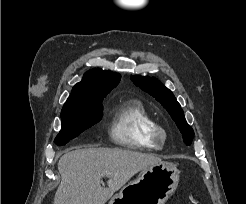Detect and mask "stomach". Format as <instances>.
<instances>
[{"instance_id":"obj_1","label":"stomach","mask_w":246,"mask_h":204,"mask_svg":"<svg viewBox=\"0 0 246 204\" xmlns=\"http://www.w3.org/2000/svg\"><path fill=\"white\" fill-rule=\"evenodd\" d=\"M179 182V170L161 162L142 170L137 179L124 186L109 204H164Z\"/></svg>"}]
</instances>
